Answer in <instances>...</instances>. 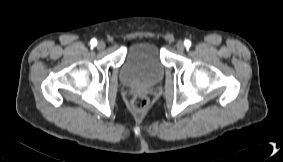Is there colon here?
<instances>
[{"label":"colon","mask_w":283,"mask_h":162,"mask_svg":"<svg viewBox=\"0 0 283 162\" xmlns=\"http://www.w3.org/2000/svg\"><path fill=\"white\" fill-rule=\"evenodd\" d=\"M132 104L135 109L143 110L148 105V99L146 96L139 94L134 97Z\"/></svg>","instance_id":"obj_1"}]
</instances>
